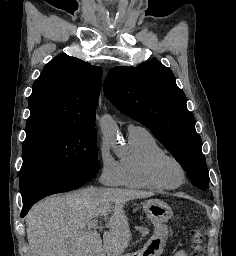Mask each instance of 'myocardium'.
<instances>
[{
  "label": "myocardium",
  "instance_id": "obj_1",
  "mask_svg": "<svg viewBox=\"0 0 236 256\" xmlns=\"http://www.w3.org/2000/svg\"><path fill=\"white\" fill-rule=\"evenodd\" d=\"M168 162L174 163L179 168L182 176L179 182L175 183L171 181L164 174V167ZM148 174L153 183L166 189H174L180 187L184 184L187 178V172L183 163L177 157L166 153L157 155L152 158L149 163Z\"/></svg>",
  "mask_w": 236,
  "mask_h": 256
}]
</instances>
